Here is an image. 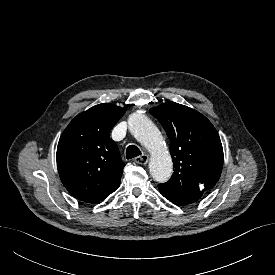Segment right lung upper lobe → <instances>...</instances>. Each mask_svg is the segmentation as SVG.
Wrapping results in <instances>:
<instances>
[{
  "label": "right lung upper lobe",
  "instance_id": "cb5924a9",
  "mask_svg": "<svg viewBox=\"0 0 275 275\" xmlns=\"http://www.w3.org/2000/svg\"><path fill=\"white\" fill-rule=\"evenodd\" d=\"M126 109L103 103L77 115L57 147V167L66 189L78 200L96 203L120 185L125 164L110 138Z\"/></svg>",
  "mask_w": 275,
  "mask_h": 275
}]
</instances>
